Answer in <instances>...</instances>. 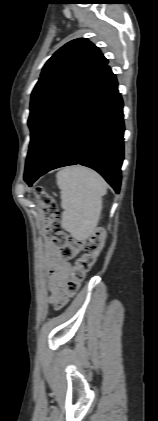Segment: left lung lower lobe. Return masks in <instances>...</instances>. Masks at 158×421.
Wrapping results in <instances>:
<instances>
[{
  "label": "left lung lower lobe",
  "instance_id": "1",
  "mask_svg": "<svg viewBox=\"0 0 158 421\" xmlns=\"http://www.w3.org/2000/svg\"><path fill=\"white\" fill-rule=\"evenodd\" d=\"M122 108L116 77L105 65L54 118L26 166L24 180L31 186L52 169L81 164L99 172L119 193L124 157Z\"/></svg>",
  "mask_w": 158,
  "mask_h": 421
}]
</instances>
